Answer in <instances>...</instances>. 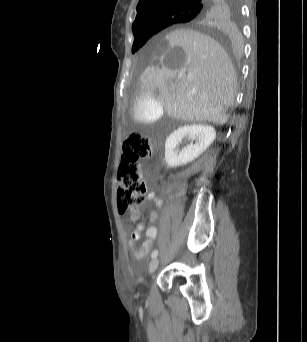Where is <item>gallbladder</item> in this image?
Wrapping results in <instances>:
<instances>
[{
  "instance_id": "1",
  "label": "gallbladder",
  "mask_w": 307,
  "mask_h": 342,
  "mask_svg": "<svg viewBox=\"0 0 307 342\" xmlns=\"http://www.w3.org/2000/svg\"><path fill=\"white\" fill-rule=\"evenodd\" d=\"M134 104L133 118L137 123H156V118L161 117L162 105L159 99H153L152 95H137Z\"/></svg>"
}]
</instances>
